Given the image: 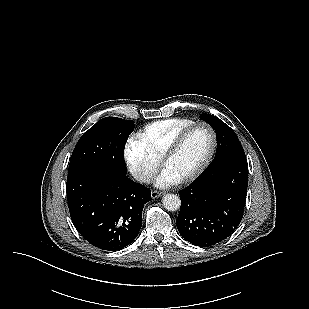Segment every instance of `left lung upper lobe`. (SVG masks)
<instances>
[{"mask_svg": "<svg viewBox=\"0 0 309 309\" xmlns=\"http://www.w3.org/2000/svg\"><path fill=\"white\" fill-rule=\"evenodd\" d=\"M201 119L210 124L217 135V150L211 163L228 155L244 152L236 133L222 120L210 114H202Z\"/></svg>", "mask_w": 309, "mask_h": 309, "instance_id": "left-lung-upper-lobe-1", "label": "left lung upper lobe"}]
</instances>
